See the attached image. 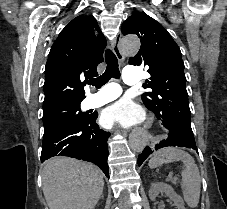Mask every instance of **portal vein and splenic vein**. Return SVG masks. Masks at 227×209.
<instances>
[{"mask_svg": "<svg viewBox=\"0 0 227 209\" xmlns=\"http://www.w3.org/2000/svg\"><path fill=\"white\" fill-rule=\"evenodd\" d=\"M173 184L176 186L178 183L176 181H174Z\"/></svg>", "mask_w": 227, "mask_h": 209, "instance_id": "obj_1", "label": "portal vein and splenic vein"}]
</instances>
